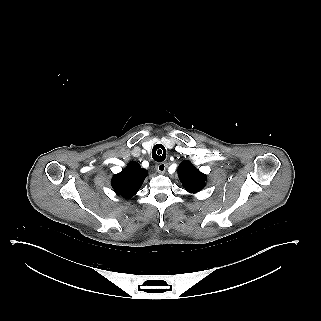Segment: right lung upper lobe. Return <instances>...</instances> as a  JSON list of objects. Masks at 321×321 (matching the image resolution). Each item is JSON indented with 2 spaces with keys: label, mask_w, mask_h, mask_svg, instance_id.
I'll return each instance as SVG.
<instances>
[{
  "label": "right lung upper lobe",
  "mask_w": 321,
  "mask_h": 321,
  "mask_svg": "<svg viewBox=\"0 0 321 321\" xmlns=\"http://www.w3.org/2000/svg\"><path fill=\"white\" fill-rule=\"evenodd\" d=\"M146 176L147 170L131 161L122 172L113 176L111 184L118 195L130 199L138 192Z\"/></svg>",
  "instance_id": "right-lung-upper-lobe-1"
}]
</instances>
